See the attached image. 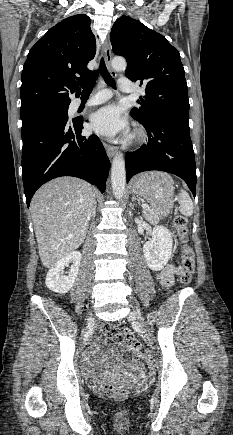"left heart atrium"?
Segmentation results:
<instances>
[{"mask_svg": "<svg viewBox=\"0 0 233 435\" xmlns=\"http://www.w3.org/2000/svg\"><path fill=\"white\" fill-rule=\"evenodd\" d=\"M91 127L99 134L113 136L126 130L122 112L116 105H108L92 114Z\"/></svg>", "mask_w": 233, "mask_h": 435, "instance_id": "39dd6f15", "label": "left heart atrium"}]
</instances>
